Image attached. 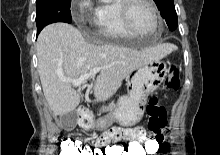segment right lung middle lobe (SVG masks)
<instances>
[{"label":"right lung middle lobe","instance_id":"1","mask_svg":"<svg viewBox=\"0 0 220 155\" xmlns=\"http://www.w3.org/2000/svg\"><path fill=\"white\" fill-rule=\"evenodd\" d=\"M71 0H36V25L41 31L54 22L71 23Z\"/></svg>","mask_w":220,"mask_h":155}]
</instances>
